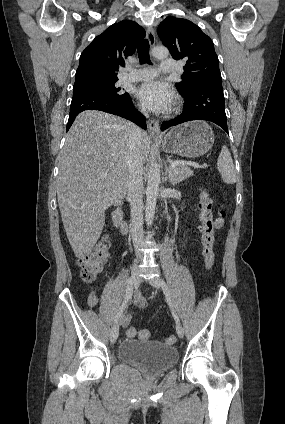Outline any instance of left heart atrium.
Here are the masks:
<instances>
[{
	"label": "left heart atrium",
	"mask_w": 285,
	"mask_h": 424,
	"mask_svg": "<svg viewBox=\"0 0 285 424\" xmlns=\"http://www.w3.org/2000/svg\"><path fill=\"white\" fill-rule=\"evenodd\" d=\"M137 96L144 107L157 113L170 110L174 101L173 90L157 80L143 83L137 90Z\"/></svg>",
	"instance_id": "obj_1"
}]
</instances>
